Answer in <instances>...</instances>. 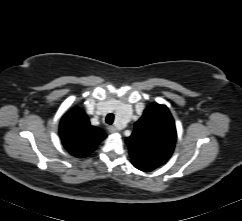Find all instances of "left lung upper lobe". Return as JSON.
<instances>
[{"mask_svg": "<svg viewBox=\"0 0 242 221\" xmlns=\"http://www.w3.org/2000/svg\"><path fill=\"white\" fill-rule=\"evenodd\" d=\"M176 137L175 123L168 108L152 104L135 123L132 135L126 139L132 164L162 165L173 153Z\"/></svg>", "mask_w": 242, "mask_h": 221, "instance_id": "left-lung-upper-lobe-1", "label": "left lung upper lobe"}]
</instances>
